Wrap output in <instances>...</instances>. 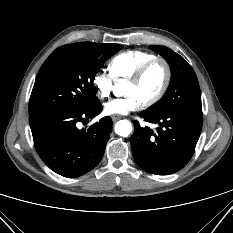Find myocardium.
Returning <instances> with one entry per match:
<instances>
[{
  "instance_id": "1",
  "label": "myocardium",
  "mask_w": 233,
  "mask_h": 233,
  "mask_svg": "<svg viewBox=\"0 0 233 233\" xmlns=\"http://www.w3.org/2000/svg\"><path fill=\"white\" fill-rule=\"evenodd\" d=\"M156 63L163 64L165 69V78L158 93L153 98L145 101L142 104V106L145 108L154 106L165 96L172 80V69L169 62L163 57H155L139 67V69L128 79V81L132 84H139L144 78L145 74L148 72V70Z\"/></svg>"
}]
</instances>
